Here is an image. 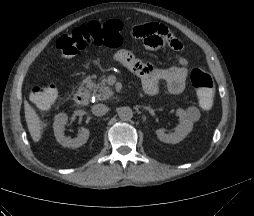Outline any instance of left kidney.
Here are the masks:
<instances>
[{"label": "left kidney", "mask_w": 254, "mask_h": 216, "mask_svg": "<svg viewBox=\"0 0 254 216\" xmlns=\"http://www.w3.org/2000/svg\"><path fill=\"white\" fill-rule=\"evenodd\" d=\"M176 115L180 118V124L176 127L175 132L166 134L161 128L155 131L160 141L176 144L182 141L192 131L193 122L188 118L186 112L183 109L178 108L176 110Z\"/></svg>", "instance_id": "1"}]
</instances>
